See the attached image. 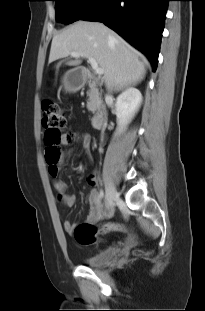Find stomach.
<instances>
[{"instance_id": "0dacf381", "label": "stomach", "mask_w": 205, "mask_h": 311, "mask_svg": "<svg viewBox=\"0 0 205 311\" xmlns=\"http://www.w3.org/2000/svg\"><path fill=\"white\" fill-rule=\"evenodd\" d=\"M84 81V73L77 69L67 71L62 79L63 87L68 92L79 90L83 86Z\"/></svg>"}]
</instances>
